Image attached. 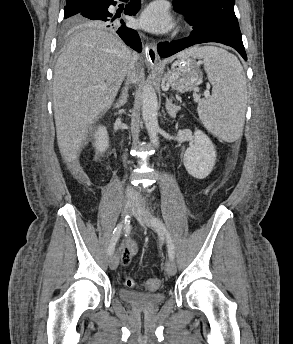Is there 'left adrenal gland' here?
I'll list each match as a JSON object with an SVG mask.
<instances>
[{
  "mask_svg": "<svg viewBox=\"0 0 293 344\" xmlns=\"http://www.w3.org/2000/svg\"><path fill=\"white\" fill-rule=\"evenodd\" d=\"M166 109L170 117L175 118L177 112L181 109L180 106H177L172 103V99H167Z\"/></svg>",
  "mask_w": 293,
  "mask_h": 344,
  "instance_id": "1",
  "label": "left adrenal gland"
}]
</instances>
